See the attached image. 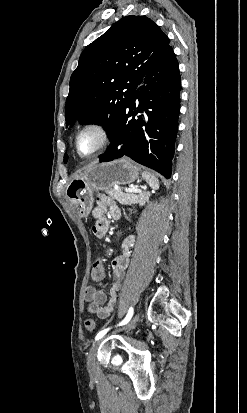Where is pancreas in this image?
<instances>
[{
    "instance_id": "obj_1",
    "label": "pancreas",
    "mask_w": 247,
    "mask_h": 413,
    "mask_svg": "<svg viewBox=\"0 0 247 413\" xmlns=\"http://www.w3.org/2000/svg\"><path fill=\"white\" fill-rule=\"evenodd\" d=\"M111 198L119 200L121 204H144L148 202L150 192H139V194H133V192H122V190H116V188H107L105 190Z\"/></svg>"
}]
</instances>
